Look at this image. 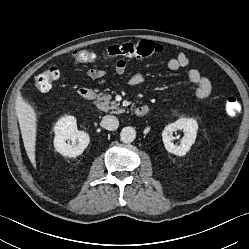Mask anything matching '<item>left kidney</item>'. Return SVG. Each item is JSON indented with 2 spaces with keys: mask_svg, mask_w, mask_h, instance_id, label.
Here are the masks:
<instances>
[{
  "mask_svg": "<svg viewBox=\"0 0 249 249\" xmlns=\"http://www.w3.org/2000/svg\"><path fill=\"white\" fill-rule=\"evenodd\" d=\"M182 130L185 134L179 145L173 143V132ZM198 130L196 120L192 118H180L176 122L168 124L163 132L162 139L166 150L178 156H184L194 144Z\"/></svg>",
  "mask_w": 249,
  "mask_h": 249,
  "instance_id": "1",
  "label": "left kidney"
}]
</instances>
